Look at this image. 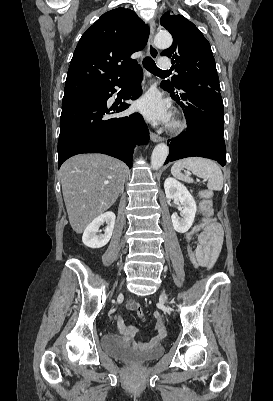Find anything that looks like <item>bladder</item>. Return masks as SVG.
<instances>
[{
    "label": "bladder",
    "instance_id": "31cf9c89",
    "mask_svg": "<svg viewBox=\"0 0 273 401\" xmlns=\"http://www.w3.org/2000/svg\"><path fill=\"white\" fill-rule=\"evenodd\" d=\"M101 347L107 355L131 365L145 364L163 354L161 346H155L142 351H132L123 341L112 335H106L102 338Z\"/></svg>",
    "mask_w": 273,
    "mask_h": 401
}]
</instances>
